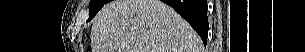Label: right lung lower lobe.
<instances>
[{
  "label": "right lung lower lobe",
  "instance_id": "98d812e1",
  "mask_svg": "<svg viewBox=\"0 0 305 52\" xmlns=\"http://www.w3.org/2000/svg\"><path fill=\"white\" fill-rule=\"evenodd\" d=\"M173 7L196 30L206 45L208 17L206 0H162Z\"/></svg>",
  "mask_w": 305,
  "mask_h": 52
}]
</instances>
